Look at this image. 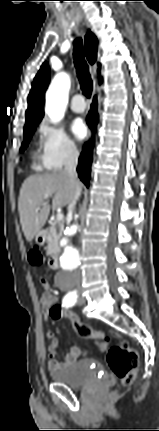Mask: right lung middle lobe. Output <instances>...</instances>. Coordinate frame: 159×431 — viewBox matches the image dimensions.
Instances as JSON below:
<instances>
[{
	"instance_id": "dd1d6c3e",
	"label": "right lung middle lobe",
	"mask_w": 159,
	"mask_h": 431,
	"mask_svg": "<svg viewBox=\"0 0 159 431\" xmlns=\"http://www.w3.org/2000/svg\"><path fill=\"white\" fill-rule=\"evenodd\" d=\"M37 125L24 129V141L22 143V147L20 151L22 152L28 145L29 139L31 138L35 128Z\"/></svg>"
}]
</instances>
